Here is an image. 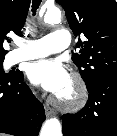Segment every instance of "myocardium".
<instances>
[{
  "label": "myocardium",
  "mask_w": 117,
  "mask_h": 136,
  "mask_svg": "<svg viewBox=\"0 0 117 136\" xmlns=\"http://www.w3.org/2000/svg\"><path fill=\"white\" fill-rule=\"evenodd\" d=\"M54 103L60 108L69 111L81 109L88 100V88L83 78L74 73L71 77L70 90L67 95H56Z\"/></svg>",
  "instance_id": "1"
}]
</instances>
